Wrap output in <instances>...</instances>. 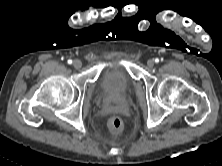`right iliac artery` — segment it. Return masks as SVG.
<instances>
[{
    "instance_id": "82829eb1",
    "label": "right iliac artery",
    "mask_w": 222,
    "mask_h": 166,
    "mask_svg": "<svg viewBox=\"0 0 222 166\" xmlns=\"http://www.w3.org/2000/svg\"><path fill=\"white\" fill-rule=\"evenodd\" d=\"M68 64H72V60L71 59L68 60Z\"/></svg>"
}]
</instances>
